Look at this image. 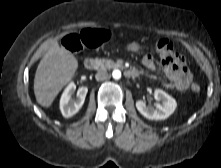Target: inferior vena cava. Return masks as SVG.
Wrapping results in <instances>:
<instances>
[{
  "label": "inferior vena cava",
  "mask_w": 221,
  "mask_h": 168,
  "mask_svg": "<svg viewBox=\"0 0 221 168\" xmlns=\"http://www.w3.org/2000/svg\"><path fill=\"white\" fill-rule=\"evenodd\" d=\"M95 78L97 81H104L109 78V74L105 70H100L96 73Z\"/></svg>",
  "instance_id": "obj_1"
}]
</instances>
